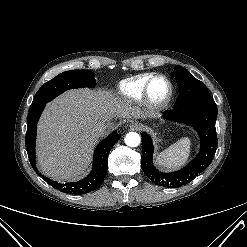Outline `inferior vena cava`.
<instances>
[{
    "label": "inferior vena cava",
    "mask_w": 247,
    "mask_h": 247,
    "mask_svg": "<svg viewBox=\"0 0 247 247\" xmlns=\"http://www.w3.org/2000/svg\"><path fill=\"white\" fill-rule=\"evenodd\" d=\"M109 129H110V126L106 122L100 121V122L95 124L93 131L98 136H103V135L108 133Z\"/></svg>",
    "instance_id": "602c4592"
}]
</instances>
